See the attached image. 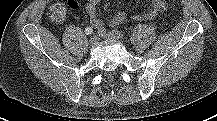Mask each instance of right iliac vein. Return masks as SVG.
Segmentation results:
<instances>
[{
  "mask_svg": "<svg viewBox=\"0 0 217 121\" xmlns=\"http://www.w3.org/2000/svg\"><path fill=\"white\" fill-rule=\"evenodd\" d=\"M99 38L97 36H93L90 40H89V44L90 46H96L98 44Z\"/></svg>",
  "mask_w": 217,
  "mask_h": 121,
  "instance_id": "63e3f726",
  "label": "right iliac vein"
}]
</instances>
